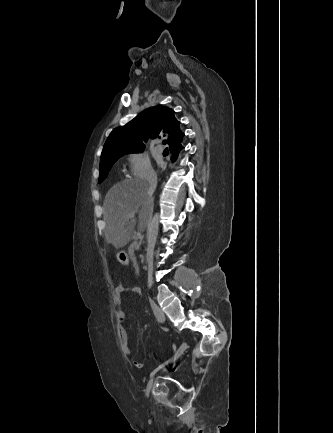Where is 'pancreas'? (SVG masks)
I'll list each match as a JSON object with an SVG mask.
<instances>
[{
    "instance_id": "1",
    "label": "pancreas",
    "mask_w": 333,
    "mask_h": 433,
    "mask_svg": "<svg viewBox=\"0 0 333 433\" xmlns=\"http://www.w3.org/2000/svg\"><path fill=\"white\" fill-rule=\"evenodd\" d=\"M134 247H135L134 245H131V246H130V248H129V255H130V258H131V260L133 261V263L136 265L135 257H134V255H133Z\"/></svg>"
}]
</instances>
